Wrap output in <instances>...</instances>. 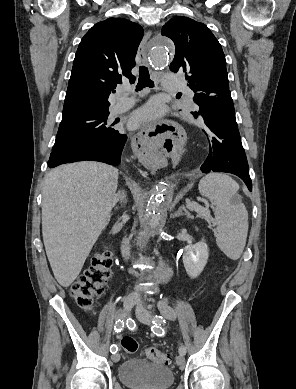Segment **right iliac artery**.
<instances>
[{
    "label": "right iliac artery",
    "mask_w": 296,
    "mask_h": 389,
    "mask_svg": "<svg viewBox=\"0 0 296 389\" xmlns=\"http://www.w3.org/2000/svg\"><path fill=\"white\" fill-rule=\"evenodd\" d=\"M124 327V320L118 319L115 323V331L120 332ZM118 348L116 345H111L110 351L112 354H115L117 352Z\"/></svg>",
    "instance_id": "obj_1"
}]
</instances>
